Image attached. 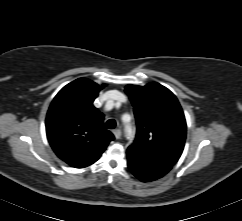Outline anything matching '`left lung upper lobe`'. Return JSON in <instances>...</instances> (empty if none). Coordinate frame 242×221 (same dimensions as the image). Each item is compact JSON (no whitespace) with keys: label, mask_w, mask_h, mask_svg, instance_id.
Returning a JSON list of instances; mask_svg holds the SVG:
<instances>
[{"label":"left lung upper lobe","mask_w":242,"mask_h":221,"mask_svg":"<svg viewBox=\"0 0 242 221\" xmlns=\"http://www.w3.org/2000/svg\"><path fill=\"white\" fill-rule=\"evenodd\" d=\"M125 92L134 106L137 126L128 150L174 165L186 139V121L176 96L156 82L127 85Z\"/></svg>","instance_id":"1"}]
</instances>
